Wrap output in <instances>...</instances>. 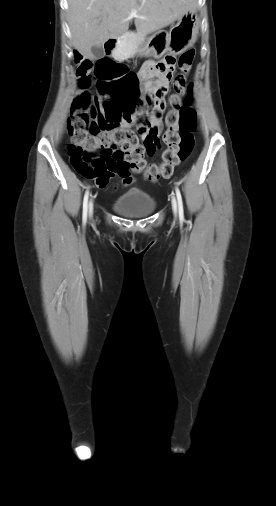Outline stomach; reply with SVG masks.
Instances as JSON below:
<instances>
[{"mask_svg": "<svg viewBox=\"0 0 276 506\" xmlns=\"http://www.w3.org/2000/svg\"><path fill=\"white\" fill-rule=\"evenodd\" d=\"M198 34V17L194 10L183 14L169 32L156 31L139 46L138 54L142 57L160 59L164 54L179 55L191 47Z\"/></svg>", "mask_w": 276, "mask_h": 506, "instance_id": "obj_1", "label": "stomach"}]
</instances>
